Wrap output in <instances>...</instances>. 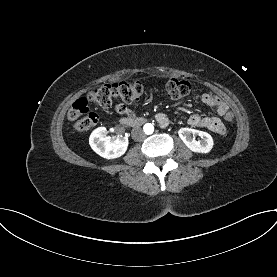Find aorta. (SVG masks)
I'll use <instances>...</instances> for the list:
<instances>
[{
    "label": "aorta",
    "mask_w": 277,
    "mask_h": 277,
    "mask_svg": "<svg viewBox=\"0 0 277 277\" xmlns=\"http://www.w3.org/2000/svg\"><path fill=\"white\" fill-rule=\"evenodd\" d=\"M144 132L146 133V134H152L153 132H154V126H153V124H151V123H146L145 125H144Z\"/></svg>",
    "instance_id": "obj_1"
}]
</instances>
